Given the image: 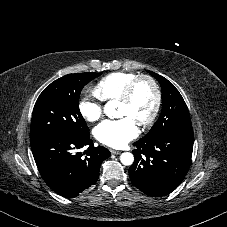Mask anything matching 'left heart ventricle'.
<instances>
[{"mask_svg":"<svg viewBox=\"0 0 227 227\" xmlns=\"http://www.w3.org/2000/svg\"><path fill=\"white\" fill-rule=\"evenodd\" d=\"M154 104V91L151 85L142 81L138 84L134 96L129 103H118V116L128 117L139 124L151 112Z\"/></svg>","mask_w":227,"mask_h":227,"instance_id":"b2bd125f","label":"left heart ventricle"}]
</instances>
